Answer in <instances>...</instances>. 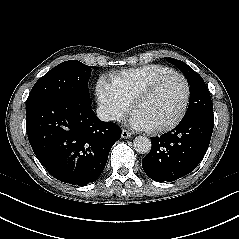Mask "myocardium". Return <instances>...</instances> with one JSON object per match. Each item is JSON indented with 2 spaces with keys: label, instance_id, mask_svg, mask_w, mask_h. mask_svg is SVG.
<instances>
[{
  "label": "myocardium",
  "instance_id": "1",
  "mask_svg": "<svg viewBox=\"0 0 239 239\" xmlns=\"http://www.w3.org/2000/svg\"><path fill=\"white\" fill-rule=\"evenodd\" d=\"M171 76L179 77L180 79H182V81L184 83L185 97H184L183 105L181 107L180 112L173 120H171L170 122H168L164 125H161V126L149 127L147 129L149 132H152V133L168 132V131L172 130L173 128H175L183 120V118L185 117V115L187 113L189 103H190V97H191L190 84H189L187 78L182 73H180L178 71H174V70L168 71L166 73H163V74L157 76L155 79L150 81L146 86H144L133 98V100L131 102V111L134 114L137 106L140 103H142L144 100L149 98L154 93V91L157 89V87L160 85V83L162 81H164L165 79H167L168 77H171Z\"/></svg>",
  "mask_w": 239,
  "mask_h": 239
}]
</instances>
